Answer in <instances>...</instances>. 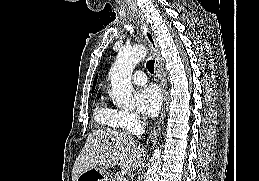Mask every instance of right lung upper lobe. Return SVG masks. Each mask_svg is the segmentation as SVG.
<instances>
[{
  "instance_id": "right-lung-upper-lobe-1",
  "label": "right lung upper lobe",
  "mask_w": 259,
  "mask_h": 181,
  "mask_svg": "<svg viewBox=\"0 0 259 181\" xmlns=\"http://www.w3.org/2000/svg\"><path fill=\"white\" fill-rule=\"evenodd\" d=\"M96 81H97V76L95 77L94 82H93L92 92L94 91V88H95V85H96Z\"/></svg>"
}]
</instances>
